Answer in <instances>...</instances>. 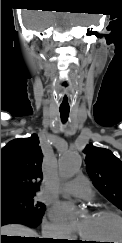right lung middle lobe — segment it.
Here are the masks:
<instances>
[{
  "mask_svg": "<svg viewBox=\"0 0 122 243\" xmlns=\"http://www.w3.org/2000/svg\"><path fill=\"white\" fill-rule=\"evenodd\" d=\"M34 196L18 195L1 197V208L20 210L42 218L45 212V206L41 202H36Z\"/></svg>",
  "mask_w": 122,
  "mask_h": 243,
  "instance_id": "1",
  "label": "right lung middle lobe"
}]
</instances>
